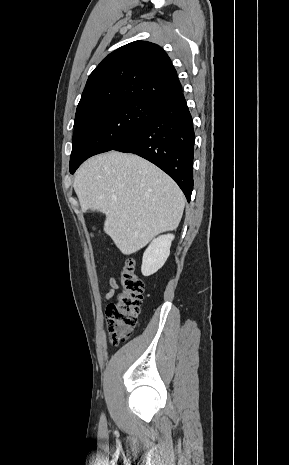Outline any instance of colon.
<instances>
[{"instance_id":"colon-1","label":"colon","mask_w":289,"mask_h":465,"mask_svg":"<svg viewBox=\"0 0 289 465\" xmlns=\"http://www.w3.org/2000/svg\"><path fill=\"white\" fill-rule=\"evenodd\" d=\"M118 283L121 290L106 310L109 339L113 345L129 338L138 321L144 284L135 273L133 259L126 260L118 275Z\"/></svg>"}]
</instances>
